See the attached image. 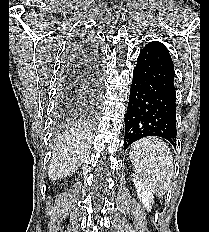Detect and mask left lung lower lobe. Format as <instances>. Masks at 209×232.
<instances>
[{
	"label": "left lung lower lobe",
	"mask_w": 209,
	"mask_h": 232,
	"mask_svg": "<svg viewBox=\"0 0 209 232\" xmlns=\"http://www.w3.org/2000/svg\"><path fill=\"white\" fill-rule=\"evenodd\" d=\"M174 67L164 44L153 41L141 50L133 71L125 119L124 150L147 136L176 146Z\"/></svg>",
	"instance_id": "left-lung-lower-lobe-1"
}]
</instances>
